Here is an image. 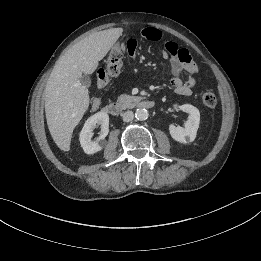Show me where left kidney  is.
I'll return each instance as SVG.
<instances>
[{
  "label": "left kidney",
  "mask_w": 261,
  "mask_h": 261,
  "mask_svg": "<svg viewBox=\"0 0 261 261\" xmlns=\"http://www.w3.org/2000/svg\"><path fill=\"white\" fill-rule=\"evenodd\" d=\"M179 108L183 112L188 113L189 118L186 121L184 128L174 125L169 126L171 137L180 143L193 142L199 128L200 112L196 107L190 104H183L179 106Z\"/></svg>",
  "instance_id": "1"
}]
</instances>
